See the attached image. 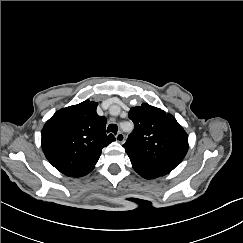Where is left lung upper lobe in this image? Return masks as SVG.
<instances>
[{
	"label": "left lung upper lobe",
	"instance_id": "5c2ea615",
	"mask_svg": "<svg viewBox=\"0 0 243 243\" xmlns=\"http://www.w3.org/2000/svg\"><path fill=\"white\" fill-rule=\"evenodd\" d=\"M134 130L123 147L129 157L141 161L178 166L188 151V135L165 111L149 104L131 108Z\"/></svg>",
	"mask_w": 243,
	"mask_h": 243
}]
</instances>
